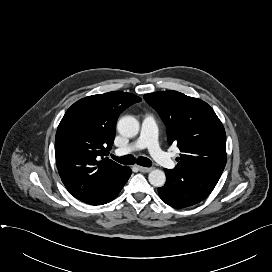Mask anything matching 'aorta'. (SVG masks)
Wrapping results in <instances>:
<instances>
[{
  "instance_id": "aorta-1",
  "label": "aorta",
  "mask_w": 272,
  "mask_h": 272,
  "mask_svg": "<svg viewBox=\"0 0 272 272\" xmlns=\"http://www.w3.org/2000/svg\"><path fill=\"white\" fill-rule=\"evenodd\" d=\"M139 122L133 116H124L117 123L118 132L125 137H134L139 132ZM148 180L155 187H162L166 182L165 173L154 169L149 173Z\"/></svg>"
}]
</instances>
